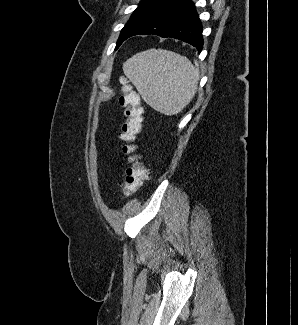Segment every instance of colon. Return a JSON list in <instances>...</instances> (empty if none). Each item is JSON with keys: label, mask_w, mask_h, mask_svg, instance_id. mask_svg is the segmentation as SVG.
I'll list each match as a JSON object with an SVG mask.
<instances>
[{"label": "colon", "mask_w": 298, "mask_h": 325, "mask_svg": "<svg viewBox=\"0 0 298 325\" xmlns=\"http://www.w3.org/2000/svg\"><path fill=\"white\" fill-rule=\"evenodd\" d=\"M119 104L123 111L124 122L121 127L120 138L124 142L122 151L128 157V167L122 183V194L132 196L143 185L148 177V169L137 152L135 140L142 129L143 108L139 95L124 83Z\"/></svg>", "instance_id": "5ec220e1"}]
</instances>
